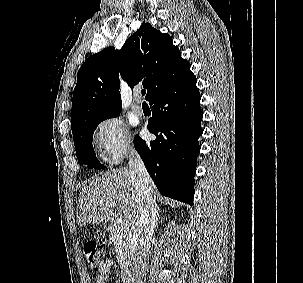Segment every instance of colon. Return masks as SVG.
Segmentation results:
<instances>
[{"label":"colon","mask_w":303,"mask_h":283,"mask_svg":"<svg viewBox=\"0 0 303 283\" xmlns=\"http://www.w3.org/2000/svg\"><path fill=\"white\" fill-rule=\"evenodd\" d=\"M84 256L91 271L101 272L110 256V248L97 242H87L83 248Z\"/></svg>","instance_id":"5ec220e1"}]
</instances>
